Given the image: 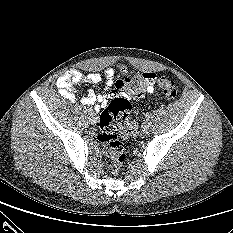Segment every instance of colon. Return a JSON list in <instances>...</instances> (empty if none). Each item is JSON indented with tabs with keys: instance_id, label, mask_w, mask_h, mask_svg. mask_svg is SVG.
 Listing matches in <instances>:
<instances>
[{
	"instance_id": "1",
	"label": "colon",
	"mask_w": 233,
	"mask_h": 233,
	"mask_svg": "<svg viewBox=\"0 0 233 233\" xmlns=\"http://www.w3.org/2000/svg\"><path fill=\"white\" fill-rule=\"evenodd\" d=\"M145 83L144 76L136 74L130 76L128 80V89L133 94L135 100L142 96L141 91ZM157 84L164 96L173 100L177 97L179 87L175 81L167 76H160ZM134 108L128 98L119 96L111 100L107 108L100 117V132L98 140L102 150L108 158V166L112 174L117 175L123 162L126 159V153L123 144L118 140L115 133L114 122H117L121 135L124 138L132 137L137 134V122L132 117Z\"/></svg>"
}]
</instances>
